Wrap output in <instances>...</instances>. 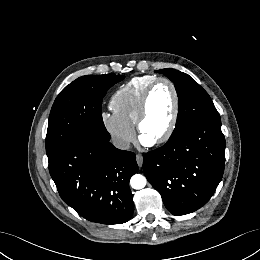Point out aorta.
Returning a JSON list of instances; mask_svg holds the SVG:
<instances>
[{
	"label": "aorta",
	"instance_id": "aorta-1",
	"mask_svg": "<svg viewBox=\"0 0 260 260\" xmlns=\"http://www.w3.org/2000/svg\"><path fill=\"white\" fill-rule=\"evenodd\" d=\"M147 180L141 174H135L130 179V185L133 189H142L146 186Z\"/></svg>",
	"mask_w": 260,
	"mask_h": 260
}]
</instances>
